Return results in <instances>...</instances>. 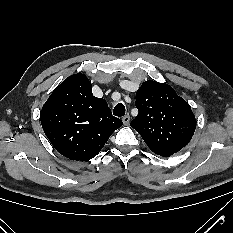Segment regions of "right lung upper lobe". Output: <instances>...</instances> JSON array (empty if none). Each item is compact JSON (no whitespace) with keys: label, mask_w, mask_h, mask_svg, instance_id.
<instances>
[{"label":"right lung upper lobe","mask_w":233,"mask_h":233,"mask_svg":"<svg viewBox=\"0 0 233 233\" xmlns=\"http://www.w3.org/2000/svg\"><path fill=\"white\" fill-rule=\"evenodd\" d=\"M40 120L53 147L66 158L81 161L95 157L123 124L104 99L93 96L91 82L81 73L55 88Z\"/></svg>","instance_id":"right-lung-upper-lobe-1"}]
</instances>
